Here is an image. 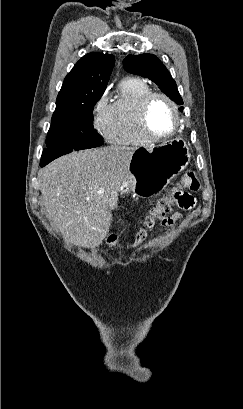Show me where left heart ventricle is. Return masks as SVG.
<instances>
[{
    "instance_id": "b2bd125f",
    "label": "left heart ventricle",
    "mask_w": 243,
    "mask_h": 409,
    "mask_svg": "<svg viewBox=\"0 0 243 409\" xmlns=\"http://www.w3.org/2000/svg\"><path fill=\"white\" fill-rule=\"evenodd\" d=\"M149 125L157 135L170 133L175 127V117L170 105L161 98L152 101L149 110Z\"/></svg>"
}]
</instances>
